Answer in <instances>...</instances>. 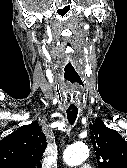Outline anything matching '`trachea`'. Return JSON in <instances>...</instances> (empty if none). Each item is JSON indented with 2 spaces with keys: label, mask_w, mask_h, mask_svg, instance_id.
Segmentation results:
<instances>
[{
  "label": "trachea",
  "mask_w": 127,
  "mask_h": 168,
  "mask_svg": "<svg viewBox=\"0 0 127 168\" xmlns=\"http://www.w3.org/2000/svg\"><path fill=\"white\" fill-rule=\"evenodd\" d=\"M77 114H78V108L75 106H70L67 109V119L70 125H73L76 121L77 118Z\"/></svg>",
  "instance_id": "obj_1"
}]
</instances>
